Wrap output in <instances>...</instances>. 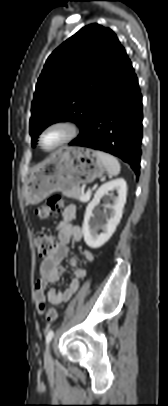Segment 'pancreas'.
Segmentation results:
<instances>
[{
    "label": "pancreas",
    "instance_id": "pancreas-1",
    "mask_svg": "<svg viewBox=\"0 0 168 406\" xmlns=\"http://www.w3.org/2000/svg\"><path fill=\"white\" fill-rule=\"evenodd\" d=\"M63 194L65 196H67V197L74 198V199H76L78 201L87 202V201L82 200V197L84 196V194L82 193L80 188L73 189V190H70V191H65V192H63Z\"/></svg>",
    "mask_w": 168,
    "mask_h": 406
}]
</instances>
